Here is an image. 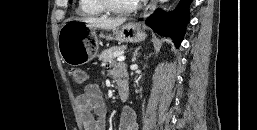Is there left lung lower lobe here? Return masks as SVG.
Returning <instances> with one entry per match:
<instances>
[{
    "label": "left lung lower lobe",
    "instance_id": "left-lung-lower-lobe-1",
    "mask_svg": "<svg viewBox=\"0 0 257 130\" xmlns=\"http://www.w3.org/2000/svg\"><path fill=\"white\" fill-rule=\"evenodd\" d=\"M192 0H182L178 9L170 13H164L161 9L146 19V24L157 31L161 36L169 35L174 39L178 48L185 33L186 24L189 21V4ZM142 20V19H139Z\"/></svg>",
    "mask_w": 257,
    "mask_h": 130
}]
</instances>
